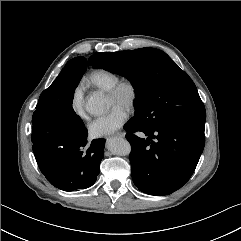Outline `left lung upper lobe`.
<instances>
[{
	"instance_id": "1",
	"label": "left lung upper lobe",
	"mask_w": 241,
	"mask_h": 241,
	"mask_svg": "<svg viewBox=\"0 0 241 241\" xmlns=\"http://www.w3.org/2000/svg\"><path fill=\"white\" fill-rule=\"evenodd\" d=\"M88 63L130 80L137 93L133 118L143 126L156 128L170 119L205 123V107L195 84L163 51L140 48L100 52Z\"/></svg>"
}]
</instances>
